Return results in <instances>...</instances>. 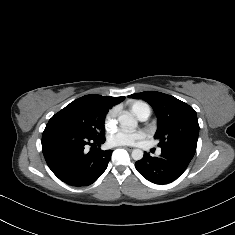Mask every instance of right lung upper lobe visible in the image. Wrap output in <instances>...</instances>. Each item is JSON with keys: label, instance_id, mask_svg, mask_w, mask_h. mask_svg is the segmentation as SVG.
Listing matches in <instances>:
<instances>
[{"label": "right lung upper lobe", "instance_id": "obj_1", "mask_svg": "<svg viewBox=\"0 0 235 235\" xmlns=\"http://www.w3.org/2000/svg\"><path fill=\"white\" fill-rule=\"evenodd\" d=\"M124 99L125 97H105L101 95L91 94L78 98L72 103L83 104L95 110L107 113L112 106L120 103Z\"/></svg>", "mask_w": 235, "mask_h": 235}]
</instances>
